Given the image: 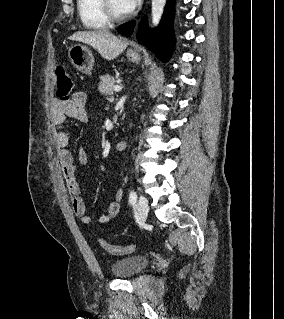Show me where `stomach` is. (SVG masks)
I'll use <instances>...</instances> for the list:
<instances>
[{"mask_svg": "<svg viewBox=\"0 0 284 319\" xmlns=\"http://www.w3.org/2000/svg\"><path fill=\"white\" fill-rule=\"evenodd\" d=\"M68 56L71 63L79 71L84 74H91L94 65V57L88 47L81 44H74L69 48ZM126 56L128 60L133 63H139L141 61V57L138 53L128 52Z\"/></svg>", "mask_w": 284, "mask_h": 319, "instance_id": "1", "label": "stomach"}]
</instances>
